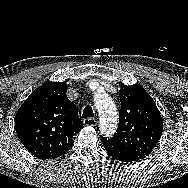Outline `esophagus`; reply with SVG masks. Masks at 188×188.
<instances>
[{"label":"esophagus","instance_id":"1","mask_svg":"<svg viewBox=\"0 0 188 188\" xmlns=\"http://www.w3.org/2000/svg\"><path fill=\"white\" fill-rule=\"evenodd\" d=\"M84 125L86 126H95L97 124V119L95 118H86L83 120Z\"/></svg>","mask_w":188,"mask_h":188}]
</instances>
